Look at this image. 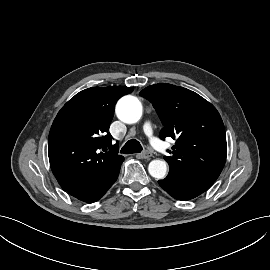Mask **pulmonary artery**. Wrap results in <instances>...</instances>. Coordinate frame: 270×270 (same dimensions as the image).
<instances>
[{
  "label": "pulmonary artery",
  "instance_id": "obj_1",
  "mask_svg": "<svg viewBox=\"0 0 270 270\" xmlns=\"http://www.w3.org/2000/svg\"><path fill=\"white\" fill-rule=\"evenodd\" d=\"M143 131L145 135L149 138L151 144L159 151L164 152L166 150V147L163 145V143L155 136L153 131V125L151 121L147 120L145 121L143 125Z\"/></svg>",
  "mask_w": 270,
  "mask_h": 270
}]
</instances>
